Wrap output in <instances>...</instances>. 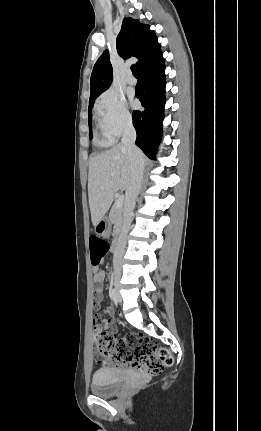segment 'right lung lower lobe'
<instances>
[{
  "label": "right lung lower lobe",
  "mask_w": 261,
  "mask_h": 431,
  "mask_svg": "<svg viewBox=\"0 0 261 431\" xmlns=\"http://www.w3.org/2000/svg\"><path fill=\"white\" fill-rule=\"evenodd\" d=\"M136 97L143 111L133 112V125L137 133L136 145L150 158L154 157L161 140L165 104V64L160 51L139 68Z\"/></svg>",
  "instance_id": "obj_1"
}]
</instances>
